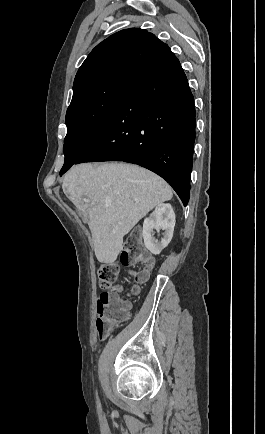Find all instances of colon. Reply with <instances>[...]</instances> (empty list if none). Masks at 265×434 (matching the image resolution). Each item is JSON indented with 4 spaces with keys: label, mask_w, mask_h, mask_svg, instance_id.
Instances as JSON below:
<instances>
[{
    "label": "colon",
    "mask_w": 265,
    "mask_h": 434,
    "mask_svg": "<svg viewBox=\"0 0 265 434\" xmlns=\"http://www.w3.org/2000/svg\"><path fill=\"white\" fill-rule=\"evenodd\" d=\"M121 264L125 266H135L138 264H145L146 269L136 270L133 273L135 285L133 286V292H137L138 285L143 284L148 279V268L152 261L150 257L143 253L142 245L139 241V234L137 230H134L128 243L124 246V250L121 253ZM120 266L116 263L104 264L98 269V283L102 289H107L110 293L98 294L97 300L101 302L96 303L97 311V323L95 332L98 335L100 344L103 341H107L109 338V327H119L120 322H126L127 315L125 313L126 304L116 302L109 310L107 308L108 303L111 300L112 294L116 289V283L118 280ZM108 314V315H107ZM109 317V318H108Z\"/></svg>",
    "instance_id": "obj_1"
}]
</instances>
